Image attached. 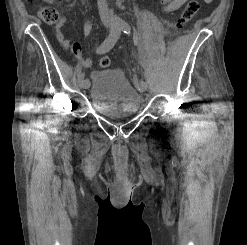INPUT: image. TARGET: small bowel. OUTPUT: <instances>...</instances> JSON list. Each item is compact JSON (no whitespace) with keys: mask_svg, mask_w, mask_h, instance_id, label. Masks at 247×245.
<instances>
[{"mask_svg":"<svg viewBox=\"0 0 247 245\" xmlns=\"http://www.w3.org/2000/svg\"><path fill=\"white\" fill-rule=\"evenodd\" d=\"M186 1L187 0H160V2L162 4V10L165 13H171V12L177 11L178 9H180L184 5V3ZM204 1L206 3H211L213 0H204ZM64 22H65V17L62 15L60 17V20L56 24V35H57L59 42L66 49H71L73 51V53L79 59H81L83 65L88 66L90 64V60L84 59L82 57L80 45L77 43H70L68 40L64 39L63 34L61 33V27L63 26ZM91 28H92V22H91V20H87L85 22V25L83 28L84 34L88 35L91 31Z\"/></svg>","mask_w":247,"mask_h":245,"instance_id":"obj_1","label":"small bowel"}]
</instances>
